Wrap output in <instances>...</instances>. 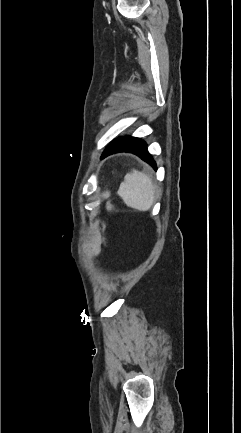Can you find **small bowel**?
<instances>
[{"label": "small bowel", "mask_w": 241, "mask_h": 433, "mask_svg": "<svg viewBox=\"0 0 241 433\" xmlns=\"http://www.w3.org/2000/svg\"><path fill=\"white\" fill-rule=\"evenodd\" d=\"M90 251L94 254H98L100 251V242L98 237H94L90 246Z\"/></svg>", "instance_id": "1"}]
</instances>
